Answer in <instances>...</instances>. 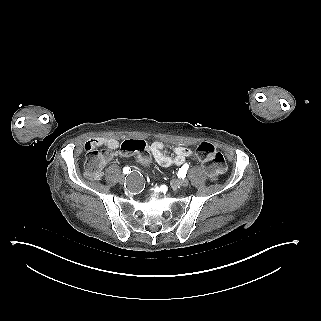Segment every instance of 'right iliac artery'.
<instances>
[{
  "label": "right iliac artery",
  "mask_w": 321,
  "mask_h": 321,
  "mask_svg": "<svg viewBox=\"0 0 321 321\" xmlns=\"http://www.w3.org/2000/svg\"><path fill=\"white\" fill-rule=\"evenodd\" d=\"M131 171L130 167H124L123 168V173L128 174Z\"/></svg>",
  "instance_id": "obj_1"
}]
</instances>
